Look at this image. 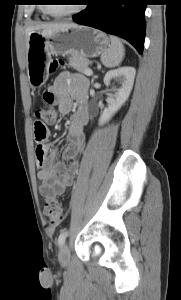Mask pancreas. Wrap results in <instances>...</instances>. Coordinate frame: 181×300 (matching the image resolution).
Returning <instances> with one entry per match:
<instances>
[{
  "instance_id": "obj_1",
  "label": "pancreas",
  "mask_w": 181,
  "mask_h": 300,
  "mask_svg": "<svg viewBox=\"0 0 181 300\" xmlns=\"http://www.w3.org/2000/svg\"><path fill=\"white\" fill-rule=\"evenodd\" d=\"M68 60L71 67H73L78 72L85 74V71L88 69L89 64V61L87 59H84L77 54H71Z\"/></svg>"
}]
</instances>
